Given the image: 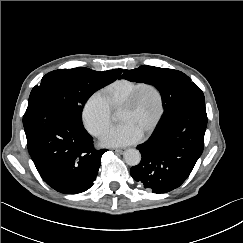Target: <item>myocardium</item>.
Here are the masks:
<instances>
[{"instance_id": "1", "label": "myocardium", "mask_w": 243, "mask_h": 243, "mask_svg": "<svg viewBox=\"0 0 243 243\" xmlns=\"http://www.w3.org/2000/svg\"><path fill=\"white\" fill-rule=\"evenodd\" d=\"M146 88H152L157 93L158 99H159V110H158V114H157L153 124L142 135L144 137L151 135L156 130V128L158 127V125H159V123H160V121H161V119L164 115L165 98H164V94H163L161 88L155 83L143 82L133 91V93L129 96V98L123 103V105L120 108V111H126V110L133 109L137 105V102H138V99H139L141 92Z\"/></svg>"}]
</instances>
